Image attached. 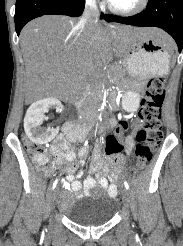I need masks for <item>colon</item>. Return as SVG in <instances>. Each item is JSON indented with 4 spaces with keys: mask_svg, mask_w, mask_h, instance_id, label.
Wrapping results in <instances>:
<instances>
[{
    "mask_svg": "<svg viewBox=\"0 0 183 246\" xmlns=\"http://www.w3.org/2000/svg\"><path fill=\"white\" fill-rule=\"evenodd\" d=\"M165 99V85L162 78L151 79L146 87L142 107L138 115L139 129L136 133V146L134 149V173L142 170L150 161L156 147L162 139L161 114ZM129 126L127 120L115 125L114 133H107L105 139V153L107 157H124L125 147H122L117 138L125 137ZM26 149L32 160L44 166L47 163L46 149L40 145L25 140Z\"/></svg>",
    "mask_w": 183,
    "mask_h": 246,
    "instance_id": "colon-1",
    "label": "colon"
}]
</instances>
